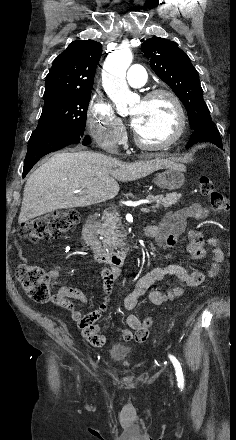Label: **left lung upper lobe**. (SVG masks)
<instances>
[{
  "mask_svg": "<svg viewBox=\"0 0 236 440\" xmlns=\"http://www.w3.org/2000/svg\"><path fill=\"white\" fill-rule=\"evenodd\" d=\"M141 49L150 58L152 70L171 87L184 104L191 129L196 130L211 122L198 72L177 43L153 37L145 41Z\"/></svg>",
  "mask_w": 236,
  "mask_h": 440,
  "instance_id": "left-lung-upper-lobe-1",
  "label": "left lung upper lobe"
}]
</instances>
